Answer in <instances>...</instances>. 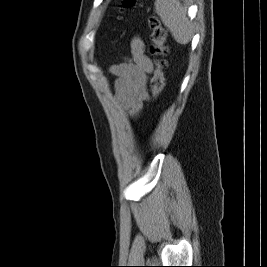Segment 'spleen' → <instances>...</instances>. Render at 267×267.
Segmentation results:
<instances>
[{
	"label": "spleen",
	"instance_id": "1",
	"mask_svg": "<svg viewBox=\"0 0 267 267\" xmlns=\"http://www.w3.org/2000/svg\"><path fill=\"white\" fill-rule=\"evenodd\" d=\"M154 5L155 12L170 30L176 42L187 44L192 38L193 27L186 7L179 0H156Z\"/></svg>",
	"mask_w": 267,
	"mask_h": 267
}]
</instances>
